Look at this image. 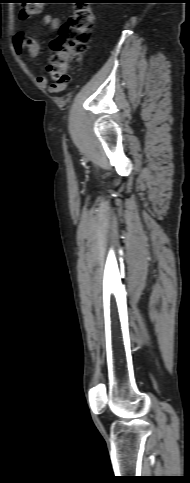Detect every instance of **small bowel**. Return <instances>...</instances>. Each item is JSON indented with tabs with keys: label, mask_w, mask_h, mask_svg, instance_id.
Listing matches in <instances>:
<instances>
[{
	"label": "small bowel",
	"mask_w": 190,
	"mask_h": 483,
	"mask_svg": "<svg viewBox=\"0 0 190 483\" xmlns=\"http://www.w3.org/2000/svg\"><path fill=\"white\" fill-rule=\"evenodd\" d=\"M42 22L49 25L53 31L59 30L61 26V21L58 18H53L50 14H45L42 17ZM12 46L16 54L21 55L22 51L26 49L28 55L32 58L36 57L40 51V43L35 38L27 37L23 34H16L13 37ZM36 79L38 84L42 86L48 84V78L45 75H38ZM50 88L52 91L61 90L56 84H52Z\"/></svg>",
	"instance_id": "small-bowel-1"
}]
</instances>
